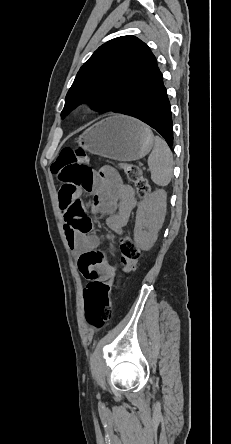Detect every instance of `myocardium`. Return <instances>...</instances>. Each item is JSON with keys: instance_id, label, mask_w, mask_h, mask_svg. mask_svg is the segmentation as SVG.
<instances>
[{"instance_id": "f54148a6", "label": "myocardium", "mask_w": 231, "mask_h": 444, "mask_svg": "<svg viewBox=\"0 0 231 444\" xmlns=\"http://www.w3.org/2000/svg\"><path fill=\"white\" fill-rule=\"evenodd\" d=\"M80 110L82 113H86L90 110V107L87 104H83V105H81Z\"/></svg>"}]
</instances>
